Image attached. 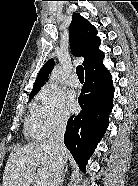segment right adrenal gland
Here are the masks:
<instances>
[{
	"mask_svg": "<svg viewBox=\"0 0 138 186\" xmlns=\"http://www.w3.org/2000/svg\"><path fill=\"white\" fill-rule=\"evenodd\" d=\"M67 170H68V167L66 166L65 171H64L63 176H62V179H61L60 186H62V184H63V181H64L65 175L67 173Z\"/></svg>",
	"mask_w": 138,
	"mask_h": 186,
	"instance_id": "right-adrenal-gland-1",
	"label": "right adrenal gland"
}]
</instances>
